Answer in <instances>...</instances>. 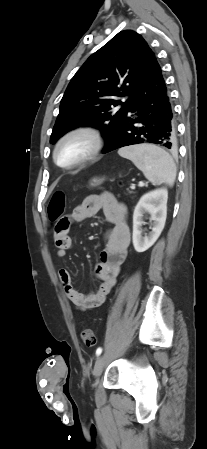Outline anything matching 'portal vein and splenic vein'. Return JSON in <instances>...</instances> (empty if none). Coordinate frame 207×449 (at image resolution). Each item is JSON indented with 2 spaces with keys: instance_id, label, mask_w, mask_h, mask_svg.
Masks as SVG:
<instances>
[{
  "instance_id": "obj_1",
  "label": "portal vein and splenic vein",
  "mask_w": 207,
  "mask_h": 449,
  "mask_svg": "<svg viewBox=\"0 0 207 449\" xmlns=\"http://www.w3.org/2000/svg\"><path fill=\"white\" fill-rule=\"evenodd\" d=\"M139 186H144V183H143V182H140V183H139Z\"/></svg>"
}]
</instances>
